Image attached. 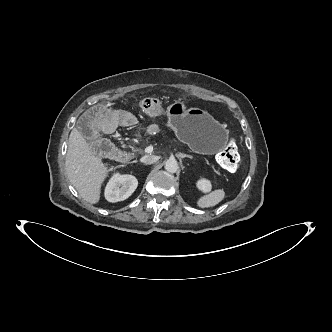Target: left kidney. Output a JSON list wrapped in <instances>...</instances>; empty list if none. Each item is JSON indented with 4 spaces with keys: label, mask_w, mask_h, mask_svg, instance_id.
<instances>
[{
    "label": "left kidney",
    "mask_w": 332,
    "mask_h": 332,
    "mask_svg": "<svg viewBox=\"0 0 332 332\" xmlns=\"http://www.w3.org/2000/svg\"><path fill=\"white\" fill-rule=\"evenodd\" d=\"M196 186L201 191H209L211 189V182L207 179H200L197 181Z\"/></svg>",
    "instance_id": "1"
}]
</instances>
